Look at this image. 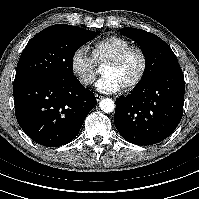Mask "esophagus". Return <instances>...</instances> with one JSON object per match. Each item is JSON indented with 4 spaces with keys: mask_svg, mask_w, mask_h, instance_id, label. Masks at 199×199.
Returning <instances> with one entry per match:
<instances>
[{
    "mask_svg": "<svg viewBox=\"0 0 199 199\" xmlns=\"http://www.w3.org/2000/svg\"><path fill=\"white\" fill-rule=\"evenodd\" d=\"M96 101L99 102L101 99H103V96L99 94H95Z\"/></svg>",
    "mask_w": 199,
    "mask_h": 199,
    "instance_id": "34e87169",
    "label": "esophagus"
}]
</instances>
